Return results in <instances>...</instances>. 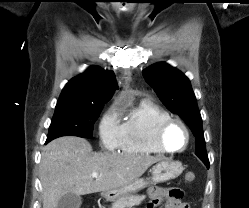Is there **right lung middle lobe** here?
Masks as SVG:
<instances>
[{
  "mask_svg": "<svg viewBox=\"0 0 249 208\" xmlns=\"http://www.w3.org/2000/svg\"><path fill=\"white\" fill-rule=\"evenodd\" d=\"M102 108L103 105L94 104L56 106L47 141L66 135L91 138L93 125Z\"/></svg>",
  "mask_w": 249,
  "mask_h": 208,
  "instance_id": "right-lung-middle-lobe-1",
  "label": "right lung middle lobe"
}]
</instances>
